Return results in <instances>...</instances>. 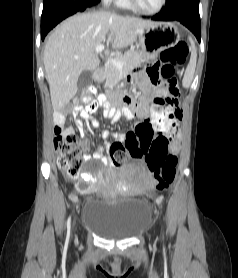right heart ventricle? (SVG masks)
I'll return each mask as SVG.
<instances>
[{"label": "right heart ventricle", "instance_id": "obj_1", "mask_svg": "<svg viewBox=\"0 0 238 278\" xmlns=\"http://www.w3.org/2000/svg\"><path fill=\"white\" fill-rule=\"evenodd\" d=\"M119 4L122 6V7H128L129 3L127 0H120Z\"/></svg>", "mask_w": 238, "mask_h": 278}]
</instances>
